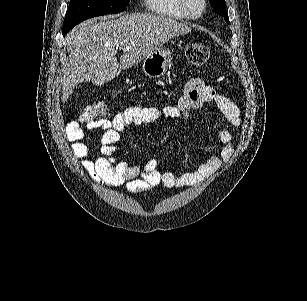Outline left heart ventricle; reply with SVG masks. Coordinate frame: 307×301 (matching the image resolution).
I'll return each instance as SVG.
<instances>
[{
	"mask_svg": "<svg viewBox=\"0 0 307 301\" xmlns=\"http://www.w3.org/2000/svg\"><path fill=\"white\" fill-rule=\"evenodd\" d=\"M188 2H191L192 5L195 4V0H188ZM189 13H197V6H192Z\"/></svg>",
	"mask_w": 307,
	"mask_h": 301,
	"instance_id": "left-heart-ventricle-1",
	"label": "left heart ventricle"
}]
</instances>
